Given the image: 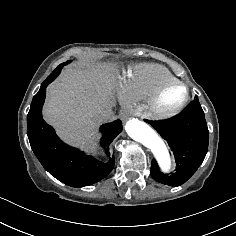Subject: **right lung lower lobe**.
Wrapping results in <instances>:
<instances>
[{
	"mask_svg": "<svg viewBox=\"0 0 236 236\" xmlns=\"http://www.w3.org/2000/svg\"><path fill=\"white\" fill-rule=\"evenodd\" d=\"M58 75L48 76L40 90L33 97L27 115V135L31 148L43 167L56 179L72 187L94 184L106 177L114 167V157L102 162L87 156L78 149L64 144L55 134L54 129L42 118V106L46 87ZM122 122L116 120L101 127L103 133L101 145L106 148L121 132Z\"/></svg>",
	"mask_w": 236,
	"mask_h": 236,
	"instance_id": "obj_1",
	"label": "right lung lower lobe"
}]
</instances>
